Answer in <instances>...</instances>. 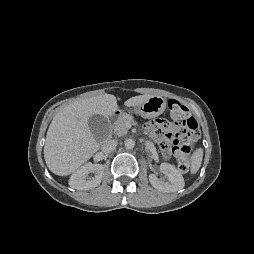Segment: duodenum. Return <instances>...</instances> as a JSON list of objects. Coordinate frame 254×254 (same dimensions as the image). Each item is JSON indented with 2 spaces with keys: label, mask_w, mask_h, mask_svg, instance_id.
<instances>
[{
  "label": "duodenum",
  "mask_w": 254,
  "mask_h": 254,
  "mask_svg": "<svg viewBox=\"0 0 254 254\" xmlns=\"http://www.w3.org/2000/svg\"><path fill=\"white\" fill-rule=\"evenodd\" d=\"M120 114H121V112L119 110L114 111L113 113H111V115L109 117V121L112 122Z\"/></svg>",
  "instance_id": "410a0bca"
}]
</instances>
